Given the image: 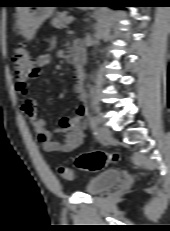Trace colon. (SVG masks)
Returning a JSON list of instances; mask_svg holds the SVG:
<instances>
[{"mask_svg": "<svg viewBox=\"0 0 170 231\" xmlns=\"http://www.w3.org/2000/svg\"><path fill=\"white\" fill-rule=\"evenodd\" d=\"M12 64L17 83H25L37 75L36 61L33 60L23 45H19L15 49L12 56ZM118 160V153L92 151L79 154L75 158V166L81 170L96 172L105 169ZM57 171L65 181H73L75 178L74 171L69 167L60 166Z\"/></svg>", "mask_w": 170, "mask_h": 231, "instance_id": "5ec220e1", "label": "colon"}]
</instances>
